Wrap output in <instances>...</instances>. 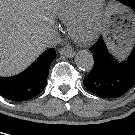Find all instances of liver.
Listing matches in <instances>:
<instances>
[{
  "instance_id": "liver-1",
  "label": "liver",
  "mask_w": 135,
  "mask_h": 135,
  "mask_svg": "<svg viewBox=\"0 0 135 135\" xmlns=\"http://www.w3.org/2000/svg\"><path fill=\"white\" fill-rule=\"evenodd\" d=\"M57 0H0V76L27 68L45 49Z\"/></svg>"
}]
</instances>
